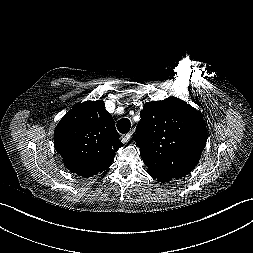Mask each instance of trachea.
Segmentation results:
<instances>
[{"label":"trachea","instance_id":"trachea-1","mask_svg":"<svg viewBox=\"0 0 253 253\" xmlns=\"http://www.w3.org/2000/svg\"><path fill=\"white\" fill-rule=\"evenodd\" d=\"M131 123L130 120L127 118L120 119L117 122V129L120 133L125 134L130 130Z\"/></svg>","mask_w":253,"mask_h":253}]
</instances>
